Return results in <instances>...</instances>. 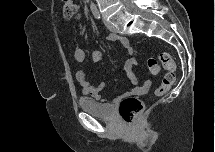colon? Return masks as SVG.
Wrapping results in <instances>:
<instances>
[{
    "label": "colon",
    "instance_id": "1",
    "mask_svg": "<svg viewBox=\"0 0 215 152\" xmlns=\"http://www.w3.org/2000/svg\"><path fill=\"white\" fill-rule=\"evenodd\" d=\"M62 9L65 18H71L77 12V4L74 0H63ZM162 64L167 71L161 84L157 87L155 94L157 96L165 95L176 81V64L169 53H160L158 60L149 58L147 61L150 73L157 76L160 73V65ZM144 108L143 101L134 96L124 98L119 105V114L121 118L128 124L134 122L137 116Z\"/></svg>",
    "mask_w": 215,
    "mask_h": 152
}]
</instances>
